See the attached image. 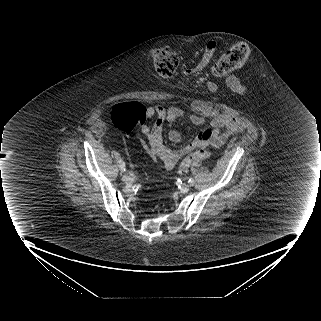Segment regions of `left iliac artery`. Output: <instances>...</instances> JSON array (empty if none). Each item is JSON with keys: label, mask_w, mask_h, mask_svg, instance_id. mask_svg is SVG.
Listing matches in <instances>:
<instances>
[{"label": "left iliac artery", "mask_w": 321, "mask_h": 321, "mask_svg": "<svg viewBox=\"0 0 321 321\" xmlns=\"http://www.w3.org/2000/svg\"><path fill=\"white\" fill-rule=\"evenodd\" d=\"M188 183L192 186V185H194V179L193 178H190L189 180H188Z\"/></svg>", "instance_id": "obj_1"}]
</instances>
